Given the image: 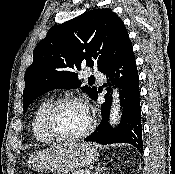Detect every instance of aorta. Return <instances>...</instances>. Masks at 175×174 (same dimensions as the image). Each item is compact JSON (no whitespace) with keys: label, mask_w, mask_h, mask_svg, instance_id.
Here are the masks:
<instances>
[{"label":"aorta","mask_w":175,"mask_h":174,"mask_svg":"<svg viewBox=\"0 0 175 174\" xmlns=\"http://www.w3.org/2000/svg\"><path fill=\"white\" fill-rule=\"evenodd\" d=\"M121 114L120 104H119V94L115 90L113 93V103L110 110V124L115 126L119 120Z\"/></svg>","instance_id":"1"}]
</instances>
